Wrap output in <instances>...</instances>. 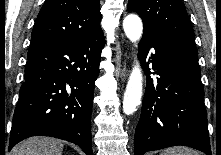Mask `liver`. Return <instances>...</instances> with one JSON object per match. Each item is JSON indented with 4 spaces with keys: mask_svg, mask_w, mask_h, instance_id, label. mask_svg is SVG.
<instances>
[{
    "mask_svg": "<svg viewBox=\"0 0 221 155\" xmlns=\"http://www.w3.org/2000/svg\"><path fill=\"white\" fill-rule=\"evenodd\" d=\"M63 144L49 137H30L17 144L11 155H62Z\"/></svg>",
    "mask_w": 221,
    "mask_h": 155,
    "instance_id": "1",
    "label": "liver"
}]
</instances>
